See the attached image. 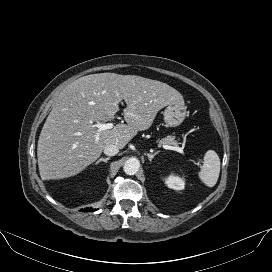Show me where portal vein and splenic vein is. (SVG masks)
Wrapping results in <instances>:
<instances>
[{
  "instance_id": "18ae733b",
  "label": "portal vein and splenic vein",
  "mask_w": 272,
  "mask_h": 272,
  "mask_svg": "<svg viewBox=\"0 0 272 272\" xmlns=\"http://www.w3.org/2000/svg\"><path fill=\"white\" fill-rule=\"evenodd\" d=\"M94 126L97 128V134H96V141L99 140V134L101 131H104V130H110L113 128V123L109 122V123H100V122H97L96 124H94ZM162 147L166 150H174V151H177L181 154L184 155V151L181 147H178V146H170V145H162Z\"/></svg>"
}]
</instances>
